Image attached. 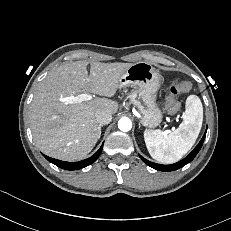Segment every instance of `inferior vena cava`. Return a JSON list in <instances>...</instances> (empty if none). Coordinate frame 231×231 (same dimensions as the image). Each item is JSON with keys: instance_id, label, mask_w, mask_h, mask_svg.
<instances>
[{"instance_id": "inferior-vena-cava-1", "label": "inferior vena cava", "mask_w": 231, "mask_h": 231, "mask_svg": "<svg viewBox=\"0 0 231 231\" xmlns=\"http://www.w3.org/2000/svg\"><path fill=\"white\" fill-rule=\"evenodd\" d=\"M95 117L97 122L99 123V126L109 124L112 120V114L107 110L96 111Z\"/></svg>"}]
</instances>
